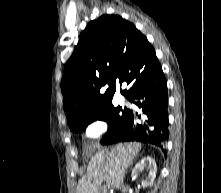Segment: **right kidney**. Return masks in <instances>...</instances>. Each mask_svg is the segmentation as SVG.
Here are the masks:
<instances>
[{
	"label": "right kidney",
	"instance_id": "obj_1",
	"mask_svg": "<svg viewBox=\"0 0 221 193\" xmlns=\"http://www.w3.org/2000/svg\"><path fill=\"white\" fill-rule=\"evenodd\" d=\"M145 168L149 170V174L146 177V179L142 182V185L149 186L153 183L157 172L156 162L153 158L147 156L144 157L140 162H138L132 170V177L135 179L138 176V174L142 172Z\"/></svg>",
	"mask_w": 221,
	"mask_h": 193
}]
</instances>
